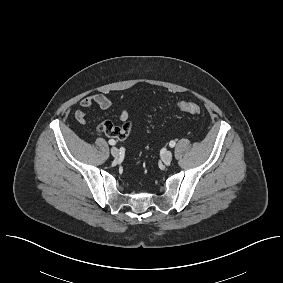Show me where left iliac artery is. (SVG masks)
<instances>
[{
	"label": "left iliac artery",
	"instance_id": "obj_1",
	"mask_svg": "<svg viewBox=\"0 0 283 283\" xmlns=\"http://www.w3.org/2000/svg\"><path fill=\"white\" fill-rule=\"evenodd\" d=\"M175 144H176L175 141H170L169 146H170V147H174Z\"/></svg>",
	"mask_w": 283,
	"mask_h": 283
}]
</instances>
